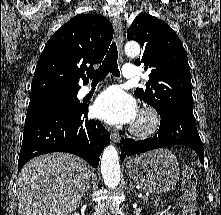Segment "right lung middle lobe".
<instances>
[{"instance_id": "obj_1", "label": "right lung middle lobe", "mask_w": 221, "mask_h": 215, "mask_svg": "<svg viewBox=\"0 0 221 215\" xmlns=\"http://www.w3.org/2000/svg\"><path fill=\"white\" fill-rule=\"evenodd\" d=\"M80 107L77 93L51 95L30 101L27 114L48 109L74 110Z\"/></svg>"}]
</instances>
